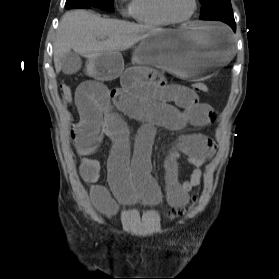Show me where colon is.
Listing matches in <instances>:
<instances>
[{
	"label": "colon",
	"instance_id": "colon-1",
	"mask_svg": "<svg viewBox=\"0 0 279 279\" xmlns=\"http://www.w3.org/2000/svg\"><path fill=\"white\" fill-rule=\"evenodd\" d=\"M61 95L64 102H72L74 99V94L72 87L69 84L63 83L60 86ZM208 86L205 83L199 82L192 85V90L195 93H205L208 91ZM193 200H196V197H193ZM185 213V210L173 209L169 211L168 215L170 218H178Z\"/></svg>",
	"mask_w": 279,
	"mask_h": 279
}]
</instances>
